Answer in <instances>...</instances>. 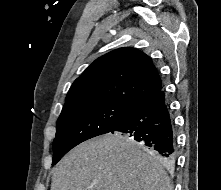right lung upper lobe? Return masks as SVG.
Segmentation results:
<instances>
[{
  "instance_id": "cb5924a9",
  "label": "right lung upper lobe",
  "mask_w": 221,
  "mask_h": 190,
  "mask_svg": "<svg viewBox=\"0 0 221 190\" xmlns=\"http://www.w3.org/2000/svg\"><path fill=\"white\" fill-rule=\"evenodd\" d=\"M162 88L149 56L135 48H119L96 59L74 81L64 107L96 101L134 107Z\"/></svg>"
}]
</instances>
